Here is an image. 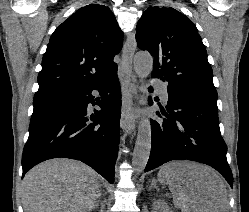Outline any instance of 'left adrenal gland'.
Returning <instances> with one entry per match:
<instances>
[{"instance_id": "obj_1", "label": "left adrenal gland", "mask_w": 249, "mask_h": 212, "mask_svg": "<svg viewBox=\"0 0 249 212\" xmlns=\"http://www.w3.org/2000/svg\"><path fill=\"white\" fill-rule=\"evenodd\" d=\"M151 188H155V190H157V192H159V188H158V186H157L155 180H152L151 186H150V190H151Z\"/></svg>"}]
</instances>
